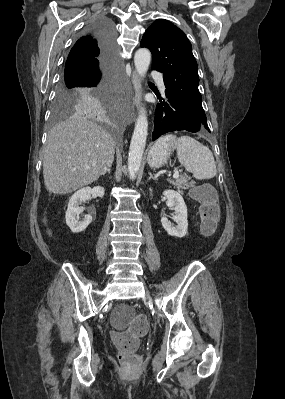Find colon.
Wrapping results in <instances>:
<instances>
[{
	"label": "colon",
	"instance_id": "colon-1",
	"mask_svg": "<svg viewBox=\"0 0 285 399\" xmlns=\"http://www.w3.org/2000/svg\"><path fill=\"white\" fill-rule=\"evenodd\" d=\"M190 194L193 199L200 203L202 233L204 235L212 234L219 220V208L216 203L215 193L212 188L199 185L194 187ZM146 330L147 320L144 317L134 316L125 330L112 333L120 359L125 365L131 366L138 363L135 352Z\"/></svg>",
	"mask_w": 285,
	"mask_h": 399
}]
</instances>
